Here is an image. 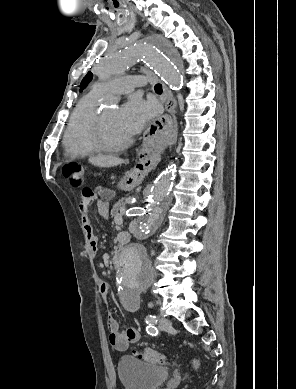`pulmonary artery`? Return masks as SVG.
<instances>
[{
	"mask_svg": "<svg viewBox=\"0 0 296 389\" xmlns=\"http://www.w3.org/2000/svg\"><path fill=\"white\" fill-rule=\"evenodd\" d=\"M144 84L142 76H125L108 82L95 83L91 92L96 95L126 94Z\"/></svg>",
	"mask_w": 296,
	"mask_h": 389,
	"instance_id": "e3ab8cb5",
	"label": "pulmonary artery"
}]
</instances>
